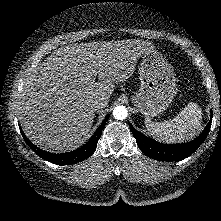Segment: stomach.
<instances>
[{"mask_svg":"<svg viewBox=\"0 0 221 221\" xmlns=\"http://www.w3.org/2000/svg\"><path fill=\"white\" fill-rule=\"evenodd\" d=\"M139 75L140 88L131 98L133 105L148 118L161 115L177 93L171 65L152 50L143 54Z\"/></svg>","mask_w":221,"mask_h":221,"instance_id":"stomach-1","label":"stomach"}]
</instances>
